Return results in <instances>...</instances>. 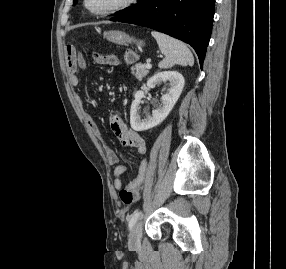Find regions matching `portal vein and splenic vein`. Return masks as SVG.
Segmentation results:
<instances>
[{"label":"portal vein and splenic vein","mask_w":286,"mask_h":269,"mask_svg":"<svg viewBox=\"0 0 286 269\" xmlns=\"http://www.w3.org/2000/svg\"><path fill=\"white\" fill-rule=\"evenodd\" d=\"M146 67H147L148 69H150V68L152 67V65H151L149 62H147Z\"/></svg>","instance_id":"obj_1"}]
</instances>
